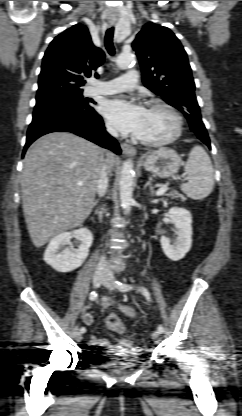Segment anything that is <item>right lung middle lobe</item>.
I'll return each instance as SVG.
<instances>
[{
    "label": "right lung middle lobe",
    "instance_id": "1",
    "mask_svg": "<svg viewBox=\"0 0 242 416\" xmlns=\"http://www.w3.org/2000/svg\"><path fill=\"white\" fill-rule=\"evenodd\" d=\"M82 89L78 88H60L55 92L36 97V104H40L48 101H62L72 105L86 106L91 100L83 98Z\"/></svg>",
    "mask_w": 242,
    "mask_h": 416
}]
</instances>
